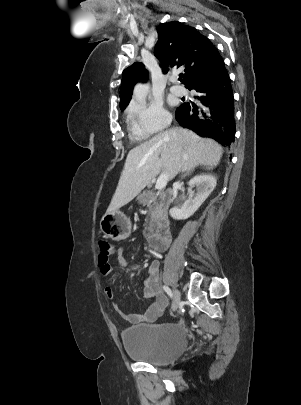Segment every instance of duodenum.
<instances>
[{"label":"duodenum","mask_w":301,"mask_h":405,"mask_svg":"<svg viewBox=\"0 0 301 405\" xmlns=\"http://www.w3.org/2000/svg\"><path fill=\"white\" fill-rule=\"evenodd\" d=\"M159 201V218L156 229L152 233L148 242L149 245L156 251H165L168 248L171 232L168 211L172 201V191L169 189L162 190L158 193Z\"/></svg>","instance_id":"1"}]
</instances>
